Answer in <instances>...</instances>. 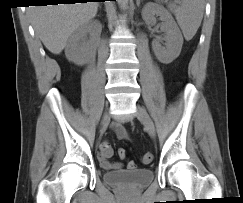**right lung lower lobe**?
<instances>
[{
  "label": "right lung lower lobe",
  "instance_id": "1",
  "mask_svg": "<svg viewBox=\"0 0 243 203\" xmlns=\"http://www.w3.org/2000/svg\"><path fill=\"white\" fill-rule=\"evenodd\" d=\"M40 1H44V0H40ZM61 1H62L61 3H69L70 4V3H75L76 1H85V0H61ZM96 1L99 2V1H105V0H96ZM111 1H116V0H111ZM38 5H40V4H38Z\"/></svg>",
  "mask_w": 243,
  "mask_h": 203
}]
</instances>
